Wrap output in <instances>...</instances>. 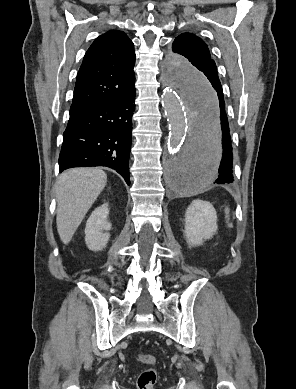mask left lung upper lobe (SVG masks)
Listing matches in <instances>:
<instances>
[{"instance_id":"1","label":"left lung upper lobe","mask_w":296,"mask_h":389,"mask_svg":"<svg viewBox=\"0 0 296 389\" xmlns=\"http://www.w3.org/2000/svg\"><path fill=\"white\" fill-rule=\"evenodd\" d=\"M172 51L187 58L200 71L199 74L204 79H207L217 70L208 46L192 33H183L176 37L172 45Z\"/></svg>"}]
</instances>
